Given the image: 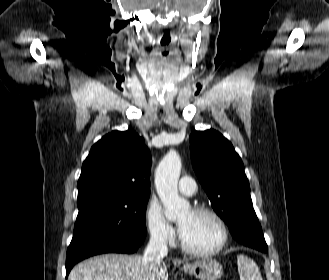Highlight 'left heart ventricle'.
<instances>
[{
	"label": "left heart ventricle",
	"instance_id": "b2bd125f",
	"mask_svg": "<svg viewBox=\"0 0 329 280\" xmlns=\"http://www.w3.org/2000/svg\"><path fill=\"white\" fill-rule=\"evenodd\" d=\"M178 224L183 240L192 248L208 250L220 241V228L208 215L195 214L189 209L178 218Z\"/></svg>",
	"mask_w": 329,
	"mask_h": 280
}]
</instances>
